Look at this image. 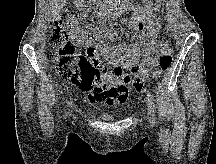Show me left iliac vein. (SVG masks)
<instances>
[{"label": "left iliac vein", "instance_id": "1", "mask_svg": "<svg viewBox=\"0 0 216 164\" xmlns=\"http://www.w3.org/2000/svg\"><path fill=\"white\" fill-rule=\"evenodd\" d=\"M145 118H146V120H147L150 124H152V118H151V116H150V114H149V109L146 110Z\"/></svg>", "mask_w": 216, "mask_h": 164}]
</instances>
